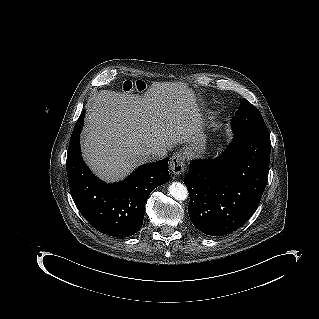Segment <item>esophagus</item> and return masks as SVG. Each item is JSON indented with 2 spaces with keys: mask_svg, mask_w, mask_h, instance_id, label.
<instances>
[{
  "mask_svg": "<svg viewBox=\"0 0 319 319\" xmlns=\"http://www.w3.org/2000/svg\"><path fill=\"white\" fill-rule=\"evenodd\" d=\"M185 156L182 152H176L172 155L169 162V168L175 175H179L184 171Z\"/></svg>",
  "mask_w": 319,
  "mask_h": 319,
  "instance_id": "esophagus-1",
  "label": "esophagus"
}]
</instances>
